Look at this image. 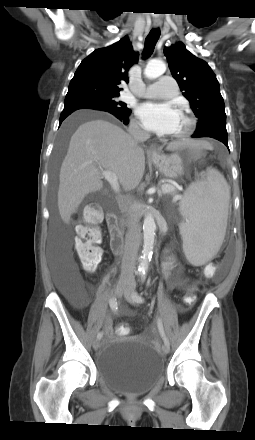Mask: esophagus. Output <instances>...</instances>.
Here are the masks:
<instances>
[{"label":"esophagus","mask_w":255,"mask_h":440,"mask_svg":"<svg viewBox=\"0 0 255 440\" xmlns=\"http://www.w3.org/2000/svg\"><path fill=\"white\" fill-rule=\"evenodd\" d=\"M160 26H161V22H154V23H153V27H154V28H159ZM149 154H150L152 157H156V156L159 155V153H158L157 148H156L155 145H151V146H150V148H149Z\"/></svg>","instance_id":"34e87169"}]
</instances>
